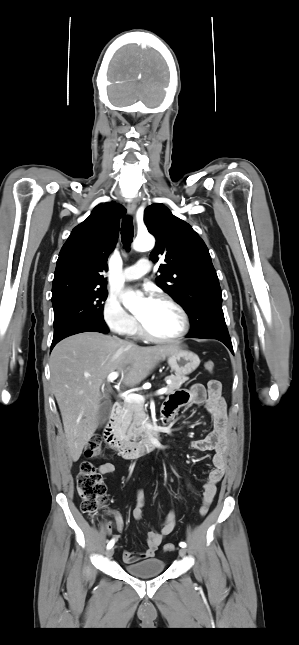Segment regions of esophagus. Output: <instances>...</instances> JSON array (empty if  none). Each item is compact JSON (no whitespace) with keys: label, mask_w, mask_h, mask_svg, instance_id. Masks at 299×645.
I'll return each instance as SVG.
<instances>
[{"label":"esophagus","mask_w":299,"mask_h":645,"mask_svg":"<svg viewBox=\"0 0 299 645\" xmlns=\"http://www.w3.org/2000/svg\"><path fill=\"white\" fill-rule=\"evenodd\" d=\"M136 207L137 205L135 200H132L127 204V212L131 217L135 216Z\"/></svg>","instance_id":"obj_1"}]
</instances>
